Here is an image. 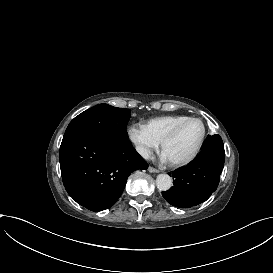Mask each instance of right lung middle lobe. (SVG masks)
<instances>
[{"mask_svg":"<svg viewBox=\"0 0 273 273\" xmlns=\"http://www.w3.org/2000/svg\"><path fill=\"white\" fill-rule=\"evenodd\" d=\"M129 118V109L99 104L76 116L68 125L63 139L73 135H92L129 141L126 132Z\"/></svg>","mask_w":273,"mask_h":273,"instance_id":"1","label":"right lung middle lobe"}]
</instances>
